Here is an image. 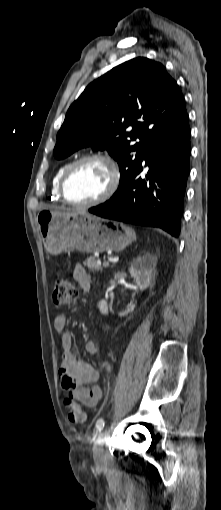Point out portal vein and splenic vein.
<instances>
[{
	"label": "portal vein and splenic vein",
	"mask_w": 221,
	"mask_h": 510,
	"mask_svg": "<svg viewBox=\"0 0 221 510\" xmlns=\"http://www.w3.org/2000/svg\"><path fill=\"white\" fill-rule=\"evenodd\" d=\"M98 263H99V264H101V262H98ZM109 264H110V263H109V261H104V262H103V266H104V267H108V266H109Z\"/></svg>",
	"instance_id": "1"
}]
</instances>
